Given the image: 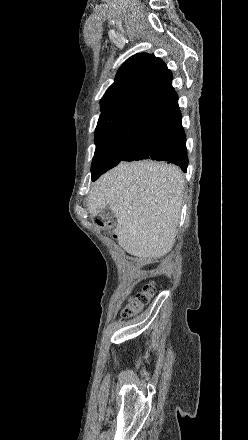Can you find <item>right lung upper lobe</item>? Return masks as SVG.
I'll return each instance as SVG.
<instances>
[{
  "instance_id": "cb5924a9",
  "label": "right lung upper lobe",
  "mask_w": 248,
  "mask_h": 440,
  "mask_svg": "<svg viewBox=\"0 0 248 440\" xmlns=\"http://www.w3.org/2000/svg\"><path fill=\"white\" fill-rule=\"evenodd\" d=\"M172 78L164 62L154 55L140 53L130 57L101 99L96 144L118 132L134 129L146 118L177 102Z\"/></svg>"
}]
</instances>
